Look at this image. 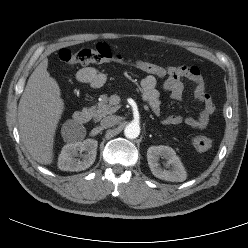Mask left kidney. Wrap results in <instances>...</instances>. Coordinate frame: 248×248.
Here are the masks:
<instances>
[{
	"label": "left kidney",
	"mask_w": 248,
	"mask_h": 248,
	"mask_svg": "<svg viewBox=\"0 0 248 248\" xmlns=\"http://www.w3.org/2000/svg\"><path fill=\"white\" fill-rule=\"evenodd\" d=\"M160 157L166 160L164 165L168 170L160 166ZM147 161L152 174L159 179L171 182H183L186 180V170L171 147L164 145L149 147Z\"/></svg>",
	"instance_id": "left-kidney-1"
}]
</instances>
